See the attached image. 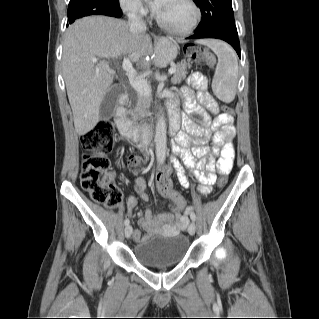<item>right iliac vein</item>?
I'll return each instance as SVG.
<instances>
[{
  "instance_id": "obj_1",
  "label": "right iliac vein",
  "mask_w": 319,
  "mask_h": 319,
  "mask_svg": "<svg viewBox=\"0 0 319 319\" xmlns=\"http://www.w3.org/2000/svg\"><path fill=\"white\" fill-rule=\"evenodd\" d=\"M132 231H133L132 226H131V225H127V226L125 227V230H124L125 237H126V238H129V237L131 236V234H132Z\"/></svg>"
}]
</instances>
